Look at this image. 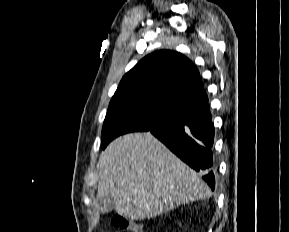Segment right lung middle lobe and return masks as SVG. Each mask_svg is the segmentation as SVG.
Returning <instances> with one entry per match:
<instances>
[{"label": "right lung middle lobe", "instance_id": "1", "mask_svg": "<svg viewBox=\"0 0 289 232\" xmlns=\"http://www.w3.org/2000/svg\"><path fill=\"white\" fill-rule=\"evenodd\" d=\"M181 110L144 98H112L102 129V148L119 135L149 131L176 119Z\"/></svg>", "mask_w": 289, "mask_h": 232}]
</instances>
